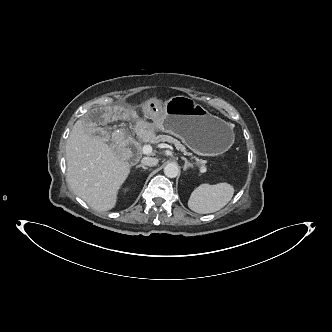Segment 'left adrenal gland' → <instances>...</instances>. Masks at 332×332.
<instances>
[{"mask_svg":"<svg viewBox=\"0 0 332 332\" xmlns=\"http://www.w3.org/2000/svg\"><path fill=\"white\" fill-rule=\"evenodd\" d=\"M182 160H184L185 164H184V171H186L188 168L192 167V164L185 158V157H181Z\"/></svg>","mask_w":332,"mask_h":332,"instance_id":"obj_1","label":"left adrenal gland"}]
</instances>
